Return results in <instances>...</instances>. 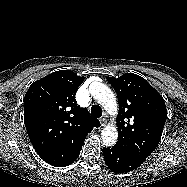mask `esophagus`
<instances>
[{
	"instance_id": "1",
	"label": "esophagus",
	"mask_w": 187,
	"mask_h": 187,
	"mask_svg": "<svg viewBox=\"0 0 187 187\" xmlns=\"http://www.w3.org/2000/svg\"><path fill=\"white\" fill-rule=\"evenodd\" d=\"M100 124H101V126H106V124H107V119L105 118V117H103V118H100Z\"/></svg>"
}]
</instances>
